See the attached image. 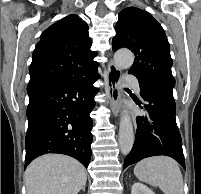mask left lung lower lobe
<instances>
[{
  "mask_svg": "<svg viewBox=\"0 0 201 194\" xmlns=\"http://www.w3.org/2000/svg\"><path fill=\"white\" fill-rule=\"evenodd\" d=\"M140 95L145 101L147 116L137 118L135 142L124 161V168L146 157L166 155L185 169L173 90L162 86H140Z\"/></svg>",
  "mask_w": 201,
  "mask_h": 194,
  "instance_id": "left-lung-lower-lobe-1",
  "label": "left lung lower lobe"
}]
</instances>
